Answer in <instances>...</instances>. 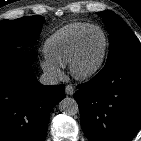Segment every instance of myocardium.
<instances>
[{"label": "myocardium", "instance_id": "myocardium-1", "mask_svg": "<svg viewBox=\"0 0 141 141\" xmlns=\"http://www.w3.org/2000/svg\"><path fill=\"white\" fill-rule=\"evenodd\" d=\"M94 29L99 30L104 37V47L102 50V54L98 62L93 67L87 70H81L78 67V62L82 53L83 43L87 34ZM108 49H109V38L103 28L97 25H91L88 28H86L79 36L71 60L69 62L70 72L73 75V77L78 80H87L94 77L102 69L104 65L108 53Z\"/></svg>", "mask_w": 141, "mask_h": 141}]
</instances>
